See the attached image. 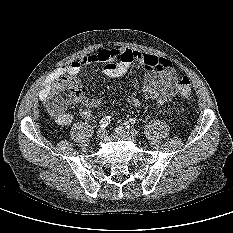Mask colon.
Returning a JSON list of instances; mask_svg holds the SVG:
<instances>
[{"mask_svg": "<svg viewBox=\"0 0 233 233\" xmlns=\"http://www.w3.org/2000/svg\"><path fill=\"white\" fill-rule=\"evenodd\" d=\"M178 91L184 97L191 95L192 87L188 77L184 76L179 79ZM80 94L81 88L76 79L72 77L63 78L57 83L52 92L50 98V109L53 112L64 111L67 104L76 102Z\"/></svg>", "mask_w": 233, "mask_h": 233, "instance_id": "obj_1", "label": "colon"}]
</instances>
